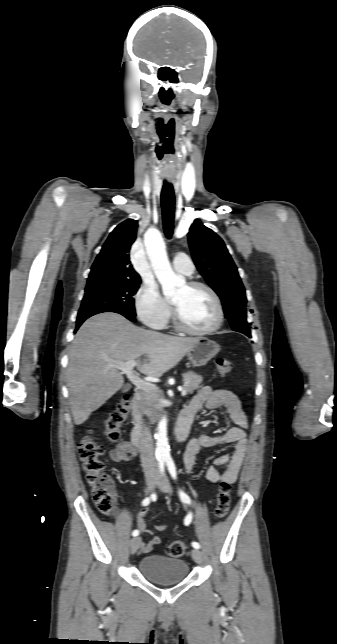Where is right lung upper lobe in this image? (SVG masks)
Segmentation results:
<instances>
[{
	"mask_svg": "<svg viewBox=\"0 0 337 644\" xmlns=\"http://www.w3.org/2000/svg\"><path fill=\"white\" fill-rule=\"evenodd\" d=\"M137 221L127 219L109 235L91 267L88 282L99 280L139 281L140 276L133 269L129 251L136 239Z\"/></svg>",
	"mask_w": 337,
	"mask_h": 644,
	"instance_id": "right-lung-upper-lobe-1",
	"label": "right lung upper lobe"
}]
</instances>
